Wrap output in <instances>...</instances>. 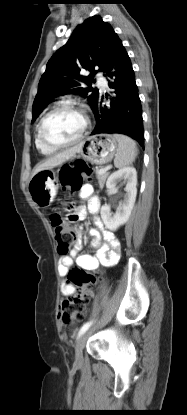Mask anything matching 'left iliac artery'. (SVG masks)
<instances>
[{
	"mask_svg": "<svg viewBox=\"0 0 187 415\" xmlns=\"http://www.w3.org/2000/svg\"><path fill=\"white\" fill-rule=\"evenodd\" d=\"M93 321H88L85 324H83V326L81 327L78 336H81L86 330H88V328L92 325Z\"/></svg>",
	"mask_w": 187,
	"mask_h": 415,
	"instance_id": "left-iliac-artery-1",
	"label": "left iliac artery"
}]
</instances>
